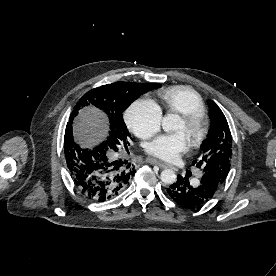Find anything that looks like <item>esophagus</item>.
Wrapping results in <instances>:
<instances>
[{
  "label": "esophagus",
  "instance_id": "34e87169",
  "mask_svg": "<svg viewBox=\"0 0 276 276\" xmlns=\"http://www.w3.org/2000/svg\"><path fill=\"white\" fill-rule=\"evenodd\" d=\"M146 162H147V163H151V164H156V165H158L160 168H167V167L170 166V165L167 164V163H164V162H162V161H157V160L151 159V158H148V159L146 160Z\"/></svg>",
  "mask_w": 276,
  "mask_h": 276
}]
</instances>
